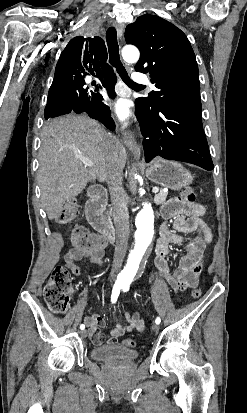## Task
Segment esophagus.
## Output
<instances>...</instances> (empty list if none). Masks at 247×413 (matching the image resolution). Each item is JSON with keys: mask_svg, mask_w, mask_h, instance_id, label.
<instances>
[{"mask_svg": "<svg viewBox=\"0 0 247 413\" xmlns=\"http://www.w3.org/2000/svg\"><path fill=\"white\" fill-rule=\"evenodd\" d=\"M116 30H117V35L119 38L122 37L123 30H124V24L117 22L114 24ZM122 139L124 144L130 148V150L134 153L135 156L139 157L140 156V147L137 144L136 140L133 138L132 134L128 132L127 130H124L122 132Z\"/></svg>", "mask_w": 247, "mask_h": 413, "instance_id": "1", "label": "esophagus"}]
</instances>
